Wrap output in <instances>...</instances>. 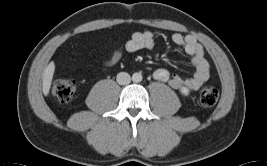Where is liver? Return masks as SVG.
Returning a JSON list of instances; mask_svg holds the SVG:
<instances>
[{"instance_id": "1", "label": "liver", "mask_w": 267, "mask_h": 166, "mask_svg": "<svg viewBox=\"0 0 267 166\" xmlns=\"http://www.w3.org/2000/svg\"><path fill=\"white\" fill-rule=\"evenodd\" d=\"M55 71V64L53 61H51L48 66L45 68L42 76V91L45 96L49 94L53 75Z\"/></svg>"}]
</instances>
